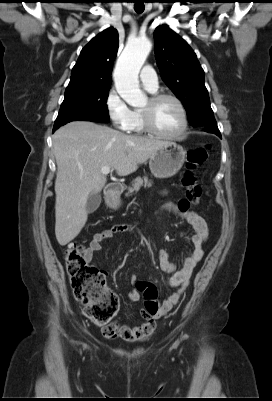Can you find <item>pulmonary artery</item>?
I'll use <instances>...</instances> for the list:
<instances>
[{
	"mask_svg": "<svg viewBox=\"0 0 272 401\" xmlns=\"http://www.w3.org/2000/svg\"><path fill=\"white\" fill-rule=\"evenodd\" d=\"M140 80L143 86L150 92H155L158 88V78L153 67L145 66L140 74Z\"/></svg>",
	"mask_w": 272,
	"mask_h": 401,
	"instance_id": "1",
	"label": "pulmonary artery"
}]
</instances>
